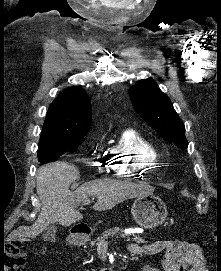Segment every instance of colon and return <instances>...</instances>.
I'll return each instance as SVG.
<instances>
[{"label": "colon", "instance_id": "5ec220e1", "mask_svg": "<svg viewBox=\"0 0 221 271\" xmlns=\"http://www.w3.org/2000/svg\"><path fill=\"white\" fill-rule=\"evenodd\" d=\"M22 240H13L6 247L5 255L0 258L1 271H26L24 266L26 253L22 251Z\"/></svg>", "mask_w": 221, "mask_h": 271}]
</instances>
